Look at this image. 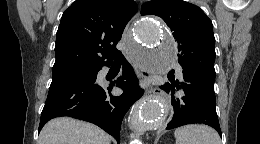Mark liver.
Here are the masks:
<instances>
[{
  "label": "liver",
  "instance_id": "obj_1",
  "mask_svg": "<svg viewBox=\"0 0 260 144\" xmlns=\"http://www.w3.org/2000/svg\"><path fill=\"white\" fill-rule=\"evenodd\" d=\"M99 127L70 117L52 119L42 128L38 144H110Z\"/></svg>",
  "mask_w": 260,
  "mask_h": 144
}]
</instances>
